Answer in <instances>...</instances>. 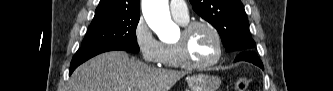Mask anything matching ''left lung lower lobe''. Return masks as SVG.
Here are the masks:
<instances>
[{
    "label": "left lung lower lobe",
    "mask_w": 333,
    "mask_h": 91,
    "mask_svg": "<svg viewBox=\"0 0 333 91\" xmlns=\"http://www.w3.org/2000/svg\"><path fill=\"white\" fill-rule=\"evenodd\" d=\"M235 61H248L263 69V64L253 50H245L236 53Z\"/></svg>",
    "instance_id": "0a47b994"
}]
</instances>
